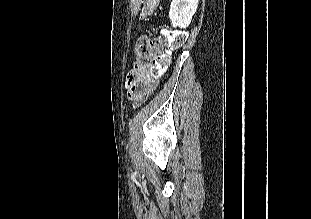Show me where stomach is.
Instances as JSON below:
<instances>
[{"instance_id":"obj_1","label":"stomach","mask_w":311,"mask_h":219,"mask_svg":"<svg viewBox=\"0 0 311 219\" xmlns=\"http://www.w3.org/2000/svg\"><path fill=\"white\" fill-rule=\"evenodd\" d=\"M145 1H146L145 2L146 13L150 15L157 7L159 0H145Z\"/></svg>"}]
</instances>
